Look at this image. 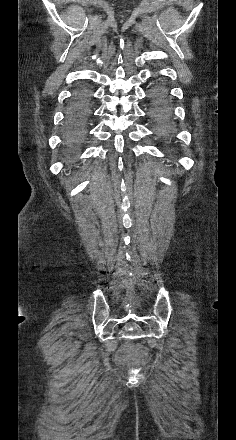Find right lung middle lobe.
I'll return each instance as SVG.
<instances>
[{
  "instance_id": "right-lung-middle-lobe-1",
  "label": "right lung middle lobe",
  "mask_w": 236,
  "mask_h": 440,
  "mask_svg": "<svg viewBox=\"0 0 236 440\" xmlns=\"http://www.w3.org/2000/svg\"><path fill=\"white\" fill-rule=\"evenodd\" d=\"M77 92L82 99V105L80 106L78 112V116H79L78 123L75 125L68 126L65 129L64 138L66 142L69 144L76 143L81 139L84 133V127H83L84 122L89 113V107L87 103L89 99V92L84 89L78 90Z\"/></svg>"
}]
</instances>
